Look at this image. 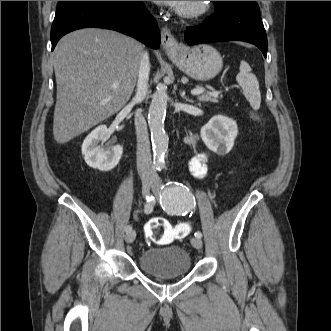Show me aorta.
Instances as JSON below:
<instances>
[{
  "label": "aorta",
  "mask_w": 331,
  "mask_h": 331,
  "mask_svg": "<svg viewBox=\"0 0 331 331\" xmlns=\"http://www.w3.org/2000/svg\"><path fill=\"white\" fill-rule=\"evenodd\" d=\"M166 86H158L149 107L148 124L151 131L154 165L156 168L164 167L165 154L168 149L169 138L164 129L168 94Z\"/></svg>",
  "instance_id": "obj_1"
}]
</instances>
